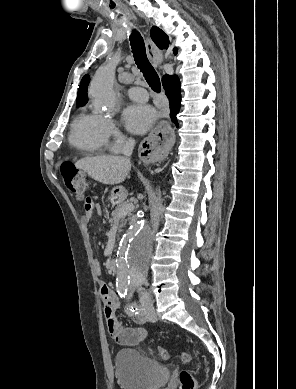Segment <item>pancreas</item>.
Here are the masks:
<instances>
[{
  "label": "pancreas",
  "mask_w": 296,
  "mask_h": 389,
  "mask_svg": "<svg viewBox=\"0 0 296 389\" xmlns=\"http://www.w3.org/2000/svg\"><path fill=\"white\" fill-rule=\"evenodd\" d=\"M126 205V203H122L120 205H118L115 210L112 211V214H111V218L109 219V223L110 224H113L114 222H117L118 223V226H119V232L122 231V228L126 225V222H127V219H126V215H123V216H119V212H120V209Z\"/></svg>",
  "instance_id": "cf45deb5"
}]
</instances>
